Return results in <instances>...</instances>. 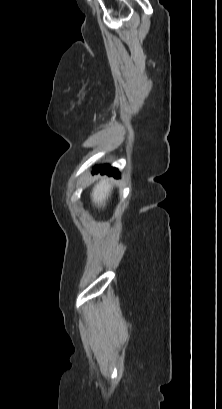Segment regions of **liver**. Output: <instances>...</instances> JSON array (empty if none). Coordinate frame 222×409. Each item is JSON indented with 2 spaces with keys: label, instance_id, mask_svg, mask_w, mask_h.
Here are the masks:
<instances>
[{
  "label": "liver",
  "instance_id": "liver-1",
  "mask_svg": "<svg viewBox=\"0 0 222 409\" xmlns=\"http://www.w3.org/2000/svg\"><path fill=\"white\" fill-rule=\"evenodd\" d=\"M112 192V185L109 179H101L93 188L91 193L92 202L97 207H105L106 201Z\"/></svg>",
  "mask_w": 222,
  "mask_h": 409
}]
</instances>
